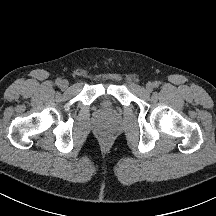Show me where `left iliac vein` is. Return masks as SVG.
Returning a JSON list of instances; mask_svg holds the SVG:
<instances>
[{
  "label": "left iliac vein",
  "instance_id": "obj_1",
  "mask_svg": "<svg viewBox=\"0 0 216 216\" xmlns=\"http://www.w3.org/2000/svg\"><path fill=\"white\" fill-rule=\"evenodd\" d=\"M153 88H154V86H153V84L151 82H148L146 84V91L147 92H151L153 90Z\"/></svg>",
  "mask_w": 216,
  "mask_h": 216
}]
</instances>
